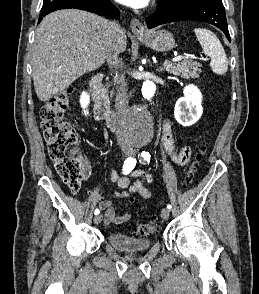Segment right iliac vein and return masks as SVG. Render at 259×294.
I'll use <instances>...</instances> for the list:
<instances>
[{"instance_id": "1", "label": "right iliac vein", "mask_w": 259, "mask_h": 294, "mask_svg": "<svg viewBox=\"0 0 259 294\" xmlns=\"http://www.w3.org/2000/svg\"><path fill=\"white\" fill-rule=\"evenodd\" d=\"M123 153H124L125 156H129V155L131 154V152H130L129 149H123ZM102 218H103V216H102L101 214L96 215V216L94 217V223H95V224H100L101 221H102Z\"/></svg>"}]
</instances>
